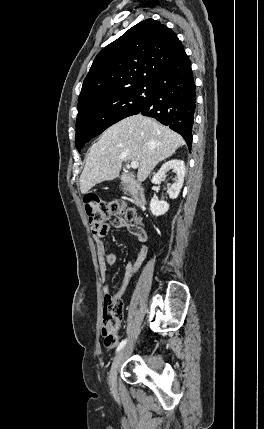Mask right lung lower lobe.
<instances>
[{
  "label": "right lung lower lobe",
  "instance_id": "1",
  "mask_svg": "<svg viewBox=\"0 0 264 429\" xmlns=\"http://www.w3.org/2000/svg\"><path fill=\"white\" fill-rule=\"evenodd\" d=\"M195 96L190 60L184 52L153 83L152 95L139 113L180 133L191 149Z\"/></svg>",
  "mask_w": 264,
  "mask_h": 429
}]
</instances>
